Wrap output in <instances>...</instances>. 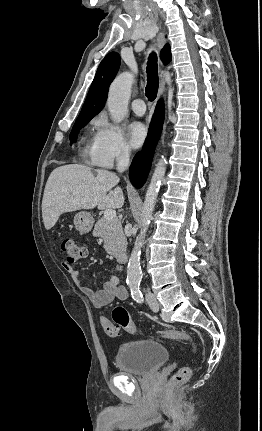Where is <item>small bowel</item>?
I'll return each mask as SVG.
<instances>
[{
  "label": "small bowel",
  "instance_id": "small-bowel-1",
  "mask_svg": "<svg viewBox=\"0 0 262 431\" xmlns=\"http://www.w3.org/2000/svg\"><path fill=\"white\" fill-rule=\"evenodd\" d=\"M65 269L70 274L74 284L90 299L96 308L102 309L113 301H124L128 297L127 290L119 285L117 277L108 279L102 284L100 289L92 291L83 283L79 272L72 265H65Z\"/></svg>",
  "mask_w": 262,
  "mask_h": 431
}]
</instances>
